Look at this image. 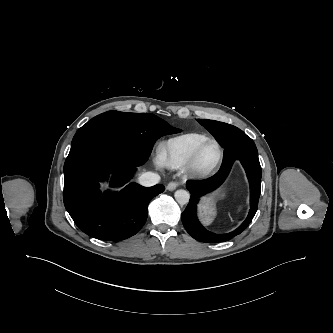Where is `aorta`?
Instances as JSON below:
<instances>
[{"mask_svg": "<svg viewBox=\"0 0 333 333\" xmlns=\"http://www.w3.org/2000/svg\"><path fill=\"white\" fill-rule=\"evenodd\" d=\"M174 197L180 205H185L189 202L190 194L188 191L180 189L174 193Z\"/></svg>", "mask_w": 333, "mask_h": 333, "instance_id": "1", "label": "aorta"}]
</instances>
